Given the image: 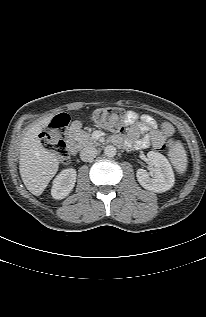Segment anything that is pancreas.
I'll use <instances>...</instances> for the list:
<instances>
[{"label": "pancreas", "instance_id": "1", "mask_svg": "<svg viewBox=\"0 0 206 317\" xmlns=\"http://www.w3.org/2000/svg\"><path fill=\"white\" fill-rule=\"evenodd\" d=\"M73 138L81 147L91 146L96 143V141L90 137V134L83 130L74 131Z\"/></svg>", "mask_w": 206, "mask_h": 317}]
</instances>
